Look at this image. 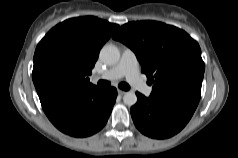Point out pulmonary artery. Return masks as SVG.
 <instances>
[{
  "label": "pulmonary artery",
  "mask_w": 238,
  "mask_h": 158,
  "mask_svg": "<svg viewBox=\"0 0 238 158\" xmlns=\"http://www.w3.org/2000/svg\"><path fill=\"white\" fill-rule=\"evenodd\" d=\"M124 76L137 90L142 92L144 95L148 96L151 94L152 88L148 86L140 76L139 63L135 53L128 48L123 50L121 58L116 65L100 75L93 76V80H116Z\"/></svg>",
  "instance_id": "1"
}]
</instances>
